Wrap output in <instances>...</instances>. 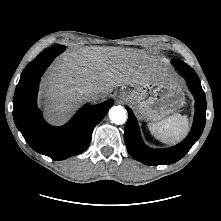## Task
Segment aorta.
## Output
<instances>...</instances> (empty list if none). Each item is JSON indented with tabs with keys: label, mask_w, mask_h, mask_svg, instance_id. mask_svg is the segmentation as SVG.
I'll return each instance as SVG.
<instances>
[{
	"label": "aorta",
	"mask_w": 221,
	"mask_h": 221,
	"mask_svg": "<svg viewBox=\"0 0 221 221\" xmlns=\"http://www.w3.org/2000/svg\"><path fill=\"white\" fill-rule=\"evenodd\" d=\"M109 118L115 124H123L127 119V114L122 106H114L109 110Z\"/></svg>",
	"instance_id": "1"
}]
</instances>
